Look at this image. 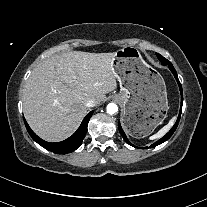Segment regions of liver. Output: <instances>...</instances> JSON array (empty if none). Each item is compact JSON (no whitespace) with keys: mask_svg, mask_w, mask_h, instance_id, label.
I'll list each match as a JSON object with an SVG mask.
<instances>
[{"mask_svg":"<svg viewBox=\"0 0 207 207\" xmlns=\"http://www.w3.org/2000/svg\"><path fill=\"white\" fill-rule=\"evenodd\" d=\"M114 56L70 51L39 64L23 92V113L31 129L49 142L71 136L87 113V101L98 104L116 89Z\"/></svg>","mask_w":207,"mask_h":207,"instance_id":"1","label":"liver"}]
</instances>
